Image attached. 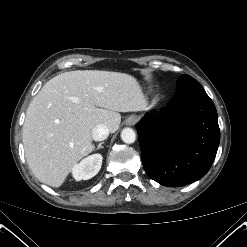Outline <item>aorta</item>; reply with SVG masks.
I'll use <instances>...</instances> for the list:
<instances>
[{"mask_svg":"<svg viewBox=\"0 0 247 247\" xmlns=\"http://www.w3.org/2000/svg\"><path fill=\"white\" fill-rule=\"evenodd\" d=\"M121 139L123 142L127 144L134 143L136 140V134L133 129L131 128H124L121 131Z\"/></svg>","mask_w":247,"mask_h":247,"instance_id":"1","label":"aorta"}]
</instances>
